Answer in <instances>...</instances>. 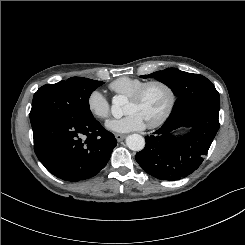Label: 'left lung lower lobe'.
<instances>
[{
  "label": "left lung lower lobe",
  "mask_w": 245,
  "mask_h": 245,
  "mask_svg": "<svg viewBox=\"0 0 245 245\" xmlns=\"http://www.w3.org/2000/svg\"><path fill=\"white\" fill-rule=\"evenodd\" d=\"M218 117L219 109L211 106L186 110L145 137V148L136 154V161L157 179L172 181L190 175L209 150L220 126ZM184 127L190 129L188 134H172Z\"/></svg>",
  "instance_id": "obj_1"
}]
</instances>
